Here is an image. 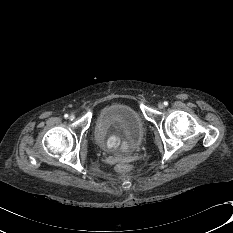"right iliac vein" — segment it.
Segmentation results:
<instances>
[{"label": "right iliac vein", "mask_w": 233, "mask_h": 233, "mask_svg": "<svg viewBox=\"0 0 233 233\" xmlns=\"http://www.w3.org/2000/svg\"><path fill=\"white\" fill-rule=\"evenodd\" d=\"M69 119H70V120H74V119H75V115H74V114H71V115L69 116Z\"/></svg>", "instance_id": "obj_1"}]
</instances>
